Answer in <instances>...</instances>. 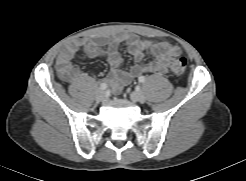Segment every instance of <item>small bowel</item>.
Segmentation results:
<instances>
[{
  "label": "small bowel",
  "instance_id": "c3829d8e",
  "mask_svg": "<svg viewBox=\"0 0 246 181\" xmlns=\"http://www.w3.org/2000/svg\"><path fill=\"white\" fill-rule=\"evenodd\" d=\"M122 43L127 44L136 62L129 71L120 69L123 58L119 45ZM79 50L89 57H101L107 60L111 70L105 80L115 92L120 91L133 78L142 74L166 73L169 61L181 54L177 46L158 40L139 39L128 32H120L112 36L77 37L69 41L58 55L56 68L62 79L74 81L79 78V68L73 64V58ZM147 51L152 52L153 59L143 63Z\"/></svg>",
  "mask_w": 246,
  "mask_h": 181
}]
</instances>
